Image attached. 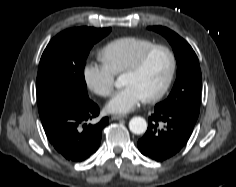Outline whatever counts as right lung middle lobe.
<instances>
[{
	"mask_svg": "<svg viewBox=\"0 0 236 187\" xmlns=\"http://www.w3.org/2000/svg\"><path fill=\"white\" fill-rule=\"evenodd\" d=\"M111 28L79 27L56 35L44 50L37 74L36 92L42 123L62 103L88 98L84 78L86 58L92 46Z\"/></svg>",
	"mask_w": 236,
	"mask_h": 187,
	"instance_id": "dd1d6c3e",
	"label": "right lung middle lobe"
}]
</instances>
